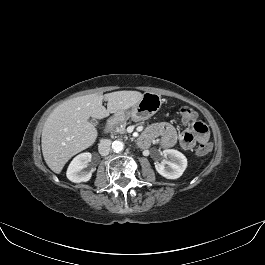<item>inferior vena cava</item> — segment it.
I'll use <instances>...</instances> for the list:
<instances>
[{
  "mask_svg": "<svg viewBox=\"0 0 265 265\" xmlns=\"http://www.w3.org/2000/svg\"><path fill=\"white\" fill-rule=\"evenodd\" d=\"M110 147H111V140L103 139L100 141L98 145V151L102 156H106L110 152Z\"/></svg>",
  "mask_w": 265,
  "mask_h": 265,
  "instance_id": "inferior-vena-cava-1",
  "label": "inferior vena cava"
}]
</instances>
